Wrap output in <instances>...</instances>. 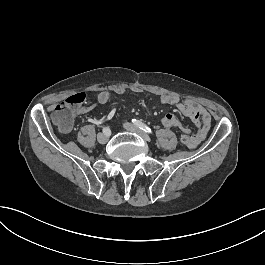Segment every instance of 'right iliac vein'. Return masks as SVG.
<instances>
[{
    "instance_id": "obj_1",
    "label": "right iliac vein",
    "mask_w": 265,
    "mask_h": 265,
    "mask_svg": "<svg viewBox=\"0 0 265 265\" xmlns=\"http://www.w3.org/2000/svg\"><path fill=\"white\" fill-rule=\"evenodd\" d=\"M109 136V134L99 133L97 136V140L100 144H105L108 141Z\"/></svg>"
}]
</instances>
